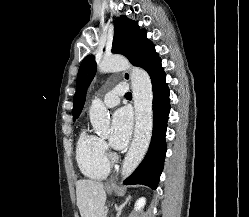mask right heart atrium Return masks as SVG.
<instances>
[{
    "label": "right heart atrium",
    "mask_w": 249,
    "mask_h": 217,
    "mask_svg": "<svg viewBox=\"0 0 249 217\" xmlns=\"http://www.w3.org/2000/svg\"><path fill=\"white\" fill-rule=\"evenodd\" d=\"M101 146H102V149H103L104 151L107 150V146H106V144H105L103 141H101Z\"/></svg>",
    "instance_id": "d8ad5b80"
}]
</instances>
